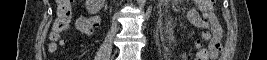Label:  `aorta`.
Returning a JSON list of instances; mask_svg holds the SVG:
<instances>
[{"label": "aorta", "instance_id": "obj_1", "mask_svg": "<svg viewBox=\"0 0 267 60\" xmlns=\"http://www.w3.org/2000/svg\"><path fill=\"white\" fill-rule=\"evenodd\" d=\"M137 3L140 8H143L145 6L146 0H137Z\"/></svg>", "mask_w": 267, "mask_h": 60}]
</instances>
